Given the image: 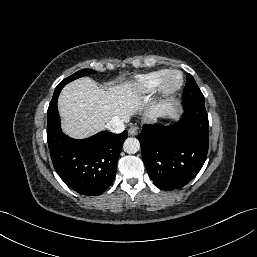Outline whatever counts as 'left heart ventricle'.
I'll return each instance as SVG.
<instances>
[{
  "mask_svg": "<svg viewBox=\"0 0 257 257\" xmlns=\"http://www.w3.org/2000/svg\"><path fill=\"white\" fill-rule=\"evenodd\" d=\"M179 82V77L177 75H173L169 79L170 85L174 86Z\"/></svg>",
  "mask_w": 257,
  "mask_h": 257,
  "instance_id": "obj_1",
  "label": "left heart ventricle"
}]
</instances>
